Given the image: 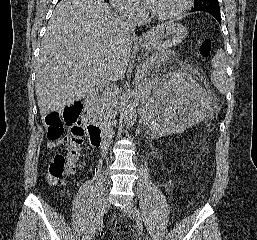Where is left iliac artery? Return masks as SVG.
Listing matches in <instances>:
<instances>
[{
    "instance_id": "obj_1",
    "label": "left iliac artery",
    "mask_w": 257,
    "mask_h": 240,
    "mask_svg": "<svg viewBox=\"0 0 257 240\" xmlns=\"http://www.w3.org/2000/svg\"><path fill=\"white\" fill-rule=\"evenodd\" d=\"M135 214H136L138 221H141L140 214L137 209H135Z\"/></svg>"
}]
</instances>
